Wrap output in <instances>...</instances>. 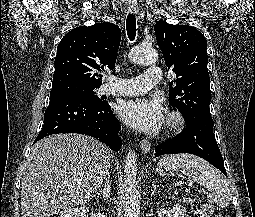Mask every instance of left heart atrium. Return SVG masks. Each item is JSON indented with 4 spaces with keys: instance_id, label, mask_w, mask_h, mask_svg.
Here are the masks:
<instances>
[{
    "instance_id": "1",
    "label": "left heart atrium",
    "mask_w": 255,
    "mask_h": 217,
    "mask_svg": "<svg viewBox=\"0 0 255 217\" xmlns=\"http://www.w3.org/2000/svg\"><path fill=\"white\" fill-rule=\"evenodd\" d=\"M118 113L128 126L145 133L158 131L164 122V109L155 99L126 100L119 106Z\"/></svg>"
}]
</instances>
